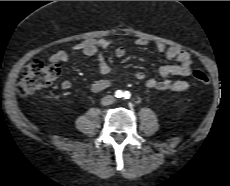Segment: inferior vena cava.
I'll list each match as a JSON object with an SVG mask.
<instances>
[{"label":"inferior vena cava","mask_w":230,"mask_h":186,"mask_svg":"<svg viewBox=\"0 0 230 186\" xmlns=\"http://www.w3.org/2000/svg\"><path fill=\"white\" fill-rule=\"evenodd\" d=\"M114 100L115 99H114V97L112 95H107V96H105V97H103L101 99V104L104 105V106L110 105V104H112L114 102Z\"/></svg>","instance_id":"602c4592"}]
</instances>
